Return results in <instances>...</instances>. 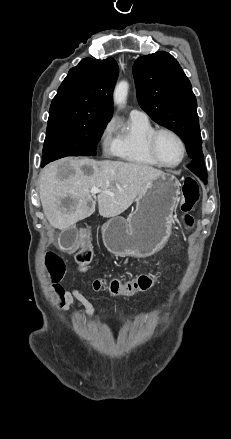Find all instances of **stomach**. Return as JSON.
Returning a JSON list of instances; mask_svg holds the SVG:
<instances>
[{
	"instance_id": "obj_1",
	"label": "stomach",
	"mask_w": 231,
	"mask_h": 439,
	"mask_svg": "<svg viewBox=\"0 0 231 439\" xmlns=\"http://www.w3.org/2000/svg\"><path fill=\"white\" fill-rule=\"evenodd\" d=\"M180 183L170 174L149 182L137 196L135 211L127 220L113 217L102 226L105 247L117 256L146 258L167 242Z\"/></svg>"
}]
</instances>
